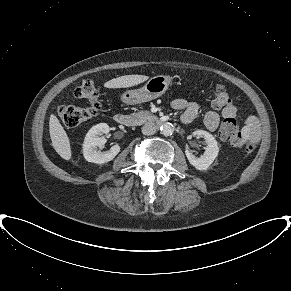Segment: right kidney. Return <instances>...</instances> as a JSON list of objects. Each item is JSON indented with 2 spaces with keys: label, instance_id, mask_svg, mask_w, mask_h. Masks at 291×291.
<instances>
[{
  "label": "right kidney",
  "instance_id": "ca27d5eb",
  "mask_svg": "<svg viewBox=\"0 0 291 291\" xmlns=\"http://www.w3.org/2000/svg\"><path fill=\"white\" fill-rule=\"evenodd\" d=\"M110 128L106 123H100L93 126L86 134L83 144V155L88 162L103 164L115 158L120 152L118 144L111 147L110 151L100 152L97 147H103L106 139L103 134L109 133Z\"/></svg>",
  "mask_w": 291,
  "mask_h": 291
}]
</instances>
